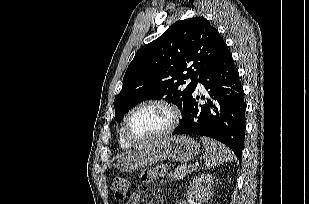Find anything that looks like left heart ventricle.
Instances as JSON below:
<instances>
[{
  "label": "left heart ventricle",
  "instance_id": "obj_1",
  "mask_svg": "<svg viewBox=\"0 0 309 204\" xmlns=\"http://www.w3.org/2000/svg\"><path fill=\"white\" fill-rule=\"evenodd\" d=\"M170 119V113L166 108L157 105L145 106L132 114L127 131L136 139L151 137L163 131Z\"/></svg>",
  "mask_w": 309,
  "mask_h": 204
}]
</instances>
